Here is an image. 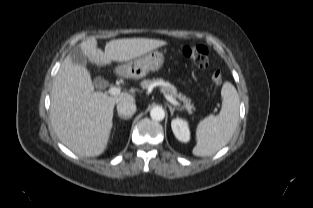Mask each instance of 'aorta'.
<instances>
[{"mask_svg": "<svg viewBox=\"0 0 313 208\" xmlns=\"http://www.w3.org/2000/svg\"><path fill=\"white\" fill-rule=\"evenodd\" d=\"M150 116L153 120L162 121L165 117V111L162 107H153L150 111Z\"/></svg>", "mask_w": 313, "mask_h": 208, "instance_id": "aorta-1", "label": "aorta"}]
</instances>
